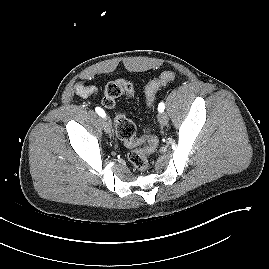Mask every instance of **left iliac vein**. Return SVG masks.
Listing matches in <instances>:
<instances>
[{"label":"left iliac vein","instance_id":"obj_1","mask_svg":"<svg viewBox=\"0 0 269 269\" xmlns=\"http://www.w3.org/2000/svg\"><path fill=\"white\" fill-rule=\"evenodd\" d=\"M158 121L161 125L165 126L168 123V116L166 113H161L158 117Z\"/></svg>","mask_w":269,"mask_h":269}]
</instances>
